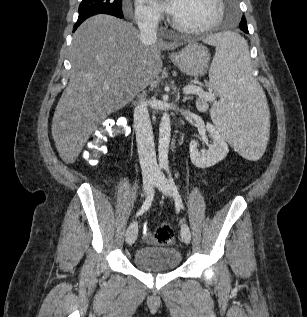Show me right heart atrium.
Returning a JSON list of instances; mask_svg holds the SVG:
<instances>
[{"label": "right heart atrium", "mask_w": 307, "mask_h": 317, "mask_svg": "<svg viewBox=\"0 0 307 317\" xmlns=\"http://www.w3.org/2000/svg\"><path fill=\"white\" fill-rule=\"evenodd\" d=\"M134 15L136 22L144 27H152L160 19V13L144 0H136Z\"/></svg>", "instance_id": "obj_1"}]
</instances>
